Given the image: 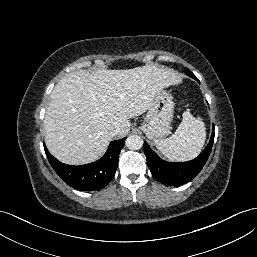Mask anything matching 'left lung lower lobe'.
Listing matches in <instances>:
<instances>
[{"label": "left lung lower lobe", "mask_w": 257, "mask_h": 257, "mask_svg": "<svg viewBox=\"0 0 257 257\" xmlns=\"http://www.w3.org/2000/svg\"><path fill=\"white\" fill-rule=\"evenodd\" d=\"M194 79L198 80L196 77ZM214 142V126L213 132L205 150L195 159L173 163L162 160L148 144L144 142V153L152 175L162 184L167 186H179L190 182L195 178L205 165Z\"/></svg>", "instance_id": "0a47b994"}]
</instances>
